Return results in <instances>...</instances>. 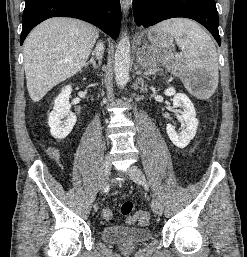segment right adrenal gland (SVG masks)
Segmentation results:
<instances>
[{"mask_svg":"<svg viewBox=\"0 0 247 257\" xmlns=\"http://www.w3.org/2000/svg\"><path fill=\"white\" fill-rule=\"evenodd\" d=\"M94 55V54H93ZM101 64V62L99 61L98 63H96L94 57H92L88 62L85 63V67H87L88 65H92V67L94 69H97L98 66Z\"/></svg>","mask_w":247,"mask_h":257,"instance_id":"obj_1","label":"right adrenal gland"}]
</instances>
